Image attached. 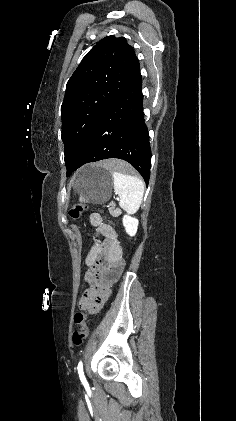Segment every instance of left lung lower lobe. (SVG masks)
Listing matches in <instances>:
<instances>
[{
  "instance_id": "0a47b994",
  "label": "left lung lower lobe",
  "mask_w": 236,
  "mask_h": 421,
  "mask_svg": "<svg viewBox=\"0 0 236 421\" xmlns=\"http://www.w3.org/2000/svg\"><path fill=\"white\" fill-rule=\"evenodd\" d=\"M139 68L137 61L123 90L90 133L77 162L66 165L67 176L86 163L120 158L129 162L148 184L151 148L142 111V78Z\"/></svg>"
}]
</instances>
